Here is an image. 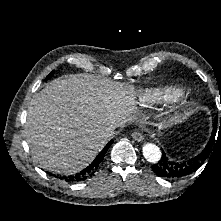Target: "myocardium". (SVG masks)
Wrapping results in <instances>:
<instances>
[{
  "mask_svg": "<svg viewBox=\"0 0 221 221\" xmlns=\"http://www.w3.org/2000/svg\"><path fill=\"white\" fill-rule=\"evenodd\" d=\"M185 115H186V108L182 107L180 110L169 113L166 119H167V122L174 123L182 119Z\"/></svg>",
  "mask_w": 221,
  "mask_h": 221,
  "instance_id": "obj_1",
  "label": "myocardium"
}]
</instances>
